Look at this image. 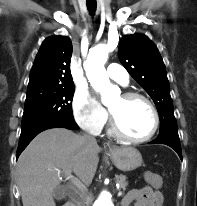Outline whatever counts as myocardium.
I'll list each match as a JSON object with an SVG mask.
<instances>
[{
  "label": "myocardium",
  "mask_w": 197,
  "mask_h": 206,
  "mask_svg": "<svg viewBox=\"0 0 197 206\" xmlns=\"http://www.w3.org/2000/svg\"><path fill=\"white\" fill-rule=\"evenodd\" d=\"M121 96L125 100L139 99V100L144 101L149 106V108L151 109V112L153 114V127H152L151 131L146 136L133 137L131 135H128L126 132H124L122 130V128L119 126V124L117 122L116 117L109 110L110 125H111L112 132L117 137L122 138V139L127 140V141H131V142L142 143V142H146V141L150 140L156 134V132L159 128V125H160V117H159V113H158V110H157L155 104L152 102V100L150 98H148L144 94L134 92V91H127V92L123 93Z\"/></svg>",
  "instance_id": "obj_1"
}]
</instances>
